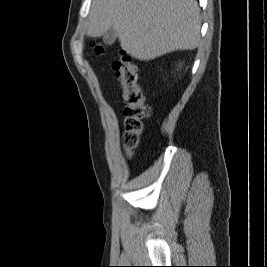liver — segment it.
<instances>
[{"instance_id":"obj_1","label":"liver","mask_w":267,"mask_h":267,"mask_svg":"<svg viewBox=\"0 0 267 267\" xmlns=\"http://www.w3.org/2000/svg\"><path fill=\"white\" fill-rule=\"evenodd\" d=\"M116 31L121 48L148 61L200 43L201 17L195 0H93L87 35Z\"/></svg>"}]
</instances>
